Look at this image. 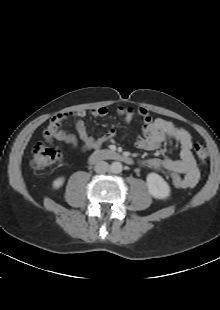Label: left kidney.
<instances>
[{"mask_svg":"<svg viewBox=\"0 0 220 310\" xmlns=\"http://www.w3.org/2000/svg\"><path fill=\"white\" fill-rule=\"evenodd\" d=\"M147 188L150 195L156 199H167L170 196L168 183L156 173L147 175Z\"/></svg>","mask_w":220,"mask_h":310,"instance_id":"5707ae66","label":"left kidney"}]
</instances>
